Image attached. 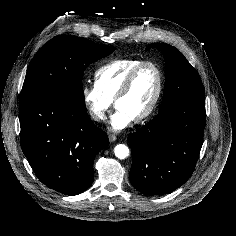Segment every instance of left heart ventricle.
I'll return each mask as SVG.
<instances>
[{"mask_svg": "<svg viewBox=\"0 0 236 236\" xmlns=\"http://www.w3.org/2000/svg\"><path fill=\"white\" fill-rule=\"evenodd\" d=\"M158 86V76L151 66L144 67L136 76L129 92L118 101L116 107L122 108L133 119L151 105Z\"/></svg>", "mask_w": 236, "mask_h": 236, "instance_id": "1", "label": "left heart ventricle"}]
</instances>
